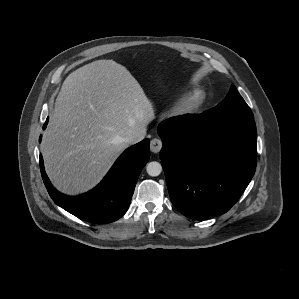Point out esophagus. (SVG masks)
Masks as SVG:
<instances>
[{"label":"esophagus","instance_id":"esophagus-1","mask_svg":"<svg viewBox=\"0 0 299 299\" xmlns=\"http://www.w3.org/2000/svg\"><path fill=\"white\" fill-rule=\"evenodd\" d=\"M162 148V141L158 138H154L150 142V149L153 153H158Z\"/></svg>","mask_w":299,"mask_h":299}]
</instances>
